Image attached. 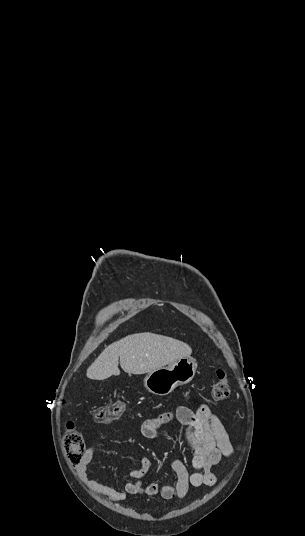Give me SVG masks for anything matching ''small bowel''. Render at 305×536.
<instances>
[{"mask_svg": "<svg viewBox=\"0 0 305 536\" xmlns=\"http://www.w3.org/2000/svg\"><path fill=\"white\" fill-rule=\"evenodd\" d=\"M171 421H178L185 427V438L193 454L192 463L196 469L195 472L190 474L182 461L172 460L169 466L177 477L174 486H160L158 483L144 485L142 479L150 470L152 461L148 457H142L139 466L127 475V478H132L135 481L126 482L125 489L120 491L88 477L89 465L97 451L96 447H90L81 455L77 466L78 474L86 487L111 502H120L128 496L135 495L155 496L159 494L162 498L164 495H177L178 499H184L190 487L200 488L215 485L217 478L212 472V468L222 458L229 457L233 452L229 434L219 416L206 404H201L194 410L179 406L174 410L145 420L141 426V433L147 439H155L161 427Z\"/></svg>", "mask_w": 305, "mask_h": 536, "instance_id": "c3829d8e", "label": "small bowel"}]
</instances>
